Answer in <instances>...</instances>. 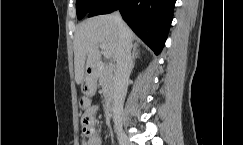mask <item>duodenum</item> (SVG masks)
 I'll use <instances>...</instances> for the list:
<instances>
[{
  "label": "duodenum",
  "mask_w": 243,
  "mask_h": 145,
  "mask_svg": "<svg viewBox=\"0 0 243 145\" xmlns=\"http://www.w3.org/2000/svg\"><path fill=\"white\" fill-rule=\"evenodd\" d=\"M104 69L105 68L102 65L90 66L89 69H88V83L91 84V85L94 84L97 77L102 74ZM115 105H116L115 99L109 98L107 100V108H108L109 112H113L115 110Z\"/></svg>",
  "instance_id": "duodenum-1"
}]
</instances>
